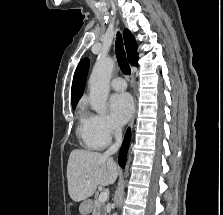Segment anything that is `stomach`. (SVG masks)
I'll return each mask as SVG.
<instances>
[{
	"instance_id": "stomach-1",
	"label": "stomach",
	"mask_w": 223,
	"mask_h": 215,
	"mask_svg": "<svg viewBox=\"0 0 223 215\" xmlns=\"http://www.w3.org/2000/svg\"><path fill=\"white\" fill-rule=\"evenodd\" d=\"M92 205V203L89 201H87L86 199L84 201H82V203H80V213H83V215H87V213H90V206Z\"/></svg>"
}]
</instances>
